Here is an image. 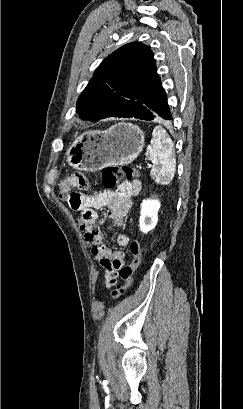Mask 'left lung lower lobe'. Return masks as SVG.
Instances as JSON below:
<instances>
[{"mask_svg":"<svg viewBox=\"0 0 243 409\" xmlns=\"http://www.w3.org/2000/svg\"><path fill=\"white\" fill-rule=\"evenodd\" d=\"M124 110V114L118 115L117 113L111 112L104 115L101 119L107 117H135L142 120H153L157 116L166 120L172 119L167 104V95L161 83L137 102L126 105Z\"/></svg>","mask_w":243,"mask_h":409,"instance_id":"0a47b994","label":"left lung lower lobe"}]
</instances>
